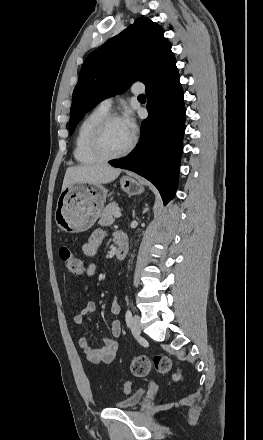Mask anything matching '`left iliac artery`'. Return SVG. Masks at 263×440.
Instances as JSON below:
<instances>
[{
  "mask_svg": "<svg viewBox=\"0 0 263 440\" xmlns=\"http://www.w3.org/2000/svg\"><path fill=\"white\" fill-rule=\"evenodd\" d=\"M125 321H126L127 326L129 327L131 325V321H132V313H131L130 309H127V311H126Z\"/></svg>",
  "mask_w": 263,
  "mask_h": 440,
  "instance_id": "obj_1",
  "label": "left iliac artery"
}]
</instances>
